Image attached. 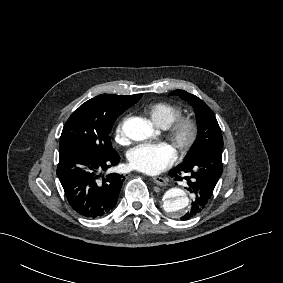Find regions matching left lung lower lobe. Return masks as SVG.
<instances>
[{"instance_id": "1", "label": "left lung lower lobe", "mask_w": 283, "mask_h": 283, "mask_svg": "<svg viewBox=\"0 0 283 283\" xmlns=\"http://www.w3.org/2000/svg\"><path fill=\"white\" fill-rule=\"evenodd\" d=\"M222 170V149H211L169 172V175L178 181L186 179L188 190L193 193L191 209L181 218L182 220L194 217L205 208ZM181 175L187 176L182 178Z\"/></svg>"}]
</instances>
